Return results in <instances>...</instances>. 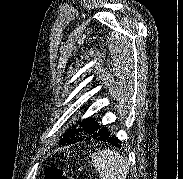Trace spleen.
I'll return each mask as SVG.
<instances>
[{"mask_svg": "<svg viewBox=\"0 0 183 179\" xmlns=\"http://www.w3.org/2000/svg\"><path fill=\"white\" fill-rule=\"evenodd\" d=\"M93 167L99 172L100 179H126L129 172L127 160L118 152L102 149L91 156Z\"/></svg>", "mask_w": 183, "mask_h": 179, "instance_id": "obj_1", "label": "spleen"}]
</instances>
